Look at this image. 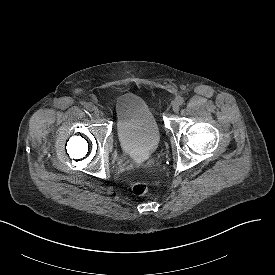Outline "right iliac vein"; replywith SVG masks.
I'll return each instance as SVG.
<instances>
[{"instance_id":"63e3f726","label":"right iliac vein","mask_w":275,"mask_h":275,"mask_svg":"<svg viewBox=\"0 0 275 275\" xmlns=\"http://www.w3.org/2000/svg\"><path fill=\"white\" fill-rule=\"evenodd\" d=\"M92 112L95 116H98L99 115V109L95 106H93V109H92Z\"/></svg>"}]
</instances>
